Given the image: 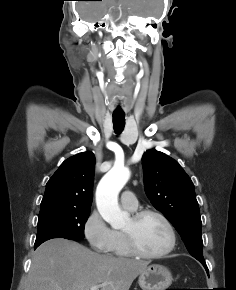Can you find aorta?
Segmentation results:
<instances>
[{"instance_id": "obj_1", "label": "aorta", "mask_w": 236, "mask_h": 290, "mask_svg": "<svg viewBox=\"0 0 236 290\" xmlns=\"http://www.w3.org/2000/svg\"><path fill=\"white\" fill-rule=\"evenodd\" d=\"M130 172L123 166H114L99 182L96 189V205L102 218L114 229L126 225L128 213L118 204V195L129 180Z\"/></svg>"}]
</instances>
